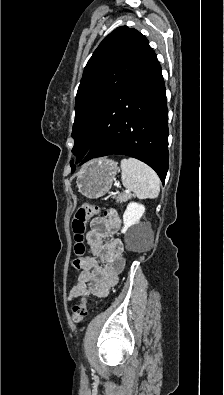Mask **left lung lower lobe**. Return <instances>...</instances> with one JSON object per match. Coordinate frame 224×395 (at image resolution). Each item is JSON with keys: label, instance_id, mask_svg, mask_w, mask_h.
I'll return each instance as SVG.
<instances>
[{"label": "left lung lower lobe", "instance_id": "left-lung-lower-lobe-1", "mask_svg": "<svg viewBox=\"0 0 224 395\" xmlns=\"http://www.w3.org/2000/svg\"><path fill=\"white\" fill-rule=\"evenodd\" d=\"M168 110L161 66L153 53L101 115L88 155H127L152 167L164 183L168 170Z\"/></svg>", "mask_w": 224, "mask_h": 395}]
</instances>
